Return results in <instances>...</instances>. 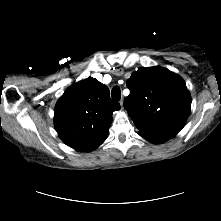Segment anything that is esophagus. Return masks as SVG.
I'll use <instances>...</instances> for the list:
<instances>
[{"instance_id": "1", "label": "esophagus", "mask_w": 221, "mask_h": 221, "mask_svg": "<svg viewBox=\"0 0 221 221\" xmlns=\"http://www.w3.org/2000/svg\"><path fill=\"white\" fill-rule=\"evenodd\" d=\"M120 105H121V107L123 108V99L121 98V100H120Z\"/></svg>"}]
</instances>
